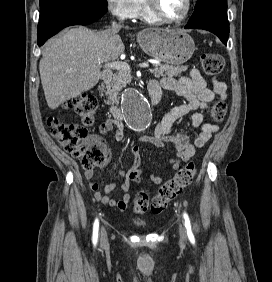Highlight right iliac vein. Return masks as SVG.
I'll return each instance as SVG.
<instances>
[{
    "instance_id": "obj_1",
    "label": "right iliac vein",
    "mask_w": 272,
    "mask_h": 282,
    "mask_svg": "<svg viewBox=\"0 0 272 282\" xmlns=\"http://www.w3.org/2000/svg\"><path fill=\"white\" fill-rule=\"evenodd\" d=\"M107 241V234L104 228L101 230V243L105 244Z\"/></svg>"
}]
</instances>
